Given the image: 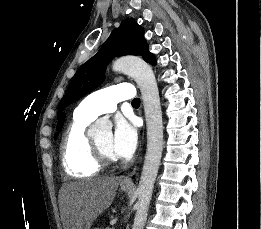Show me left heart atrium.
Returning a JSON list of instances; mask_svg holds the SVG:
<instances>
[{"label":"left heart atrium","instance_id":"1","mask_svg":"<svg viewBox=\"0 0 261 229\" xmlns=\"http://www.w3.org/2000/svg\"><path fill=\"white\" fill-rule=\"evenodd\" d=\"M138 141L137 127L132 121L117 122L111 140V153L114 158L128 159L134 153Z\"/></svg>","mask_w":261,"mask_h":229}]
</instances>
